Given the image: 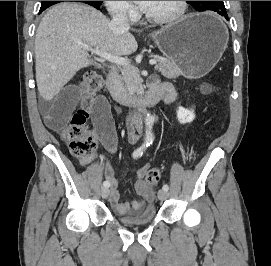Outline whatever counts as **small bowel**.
I'll use <instances>...</instances> for the list:
<instances>
[{
  "label": "small bowel",
  "instance_id": "small-bowel-1",
  "mask_svg": "<svg viewBox=\"0 0 271 266\" xmlns=\"http://www.w3.org/2000/svg\"><path fill=\"white\" fill-rule=\"evenodd\" d=\"M157 82V79H153ZM168 90V95L164 102L169 104L175 100L176 93L170 84H161ZM80 93L76 86L69 85L63 88L53 99L41 104L46 123L54 128L59 129L68 115L73 111L78 102ZM92 135L98 139L109 151H114L117 145V135L115 131L113 117L108 103L104 99L97 102L93 116ZM93 156H87L81 159V164L86 165L92 160ZM149 170V165H145L137 170L135 177V191L140 196L139 199L132 202L121 203L119 184L112 170L106 174L107 181L110 183L109 202L113 209L120 214L141 211L147 203L154 200V191L144 186L142 178Z\"/></svg>",
  "mask_w": 271,
  "mask_h": 266
}]
</instances>
